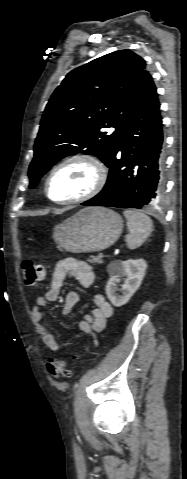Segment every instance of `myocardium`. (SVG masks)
<instances>
[{"label": "myocardium", "instance_id": "obj_1", "mask_svg": "<svg viewBox=\"0 0 187 479\" xmlns=\"http://www.w3.org/2000/svg\"><path fill=\"white\" fill-rule=\"evenodd\" d=\"M85 162L91 166L94 171V182L91 188L85 192L84 194L77 196L72 199L68 200H54L49 194V184L52 177L59 171L61 168L66 166L72 162ZM107 181V172L103 163L94 155L89 153H76L72 154L64 159H62L59 163H57L49 172L48 176L45 179L44 183V193L47 199L53 203L60 204V205H71V204H78L85 201H88L98 195L102 189L104 188Z\"/></svg>", "mask_w": 187, "mask_h": 479}]
</instances>
